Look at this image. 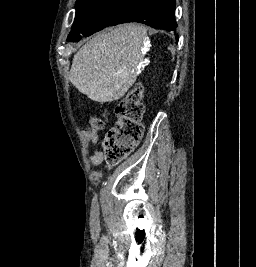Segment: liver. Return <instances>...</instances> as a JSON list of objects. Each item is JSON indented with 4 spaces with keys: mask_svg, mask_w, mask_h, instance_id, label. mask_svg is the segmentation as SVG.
I'll return each instance as SVG.
<instances>
[{
    "mask_svg": "<svg viewBox=\"0 0 256 267\" xmlns=\"http://www.w3.org/2000/svg\"><path fill=\"white\" fill-rule=\"evenodd\" d=\"M146 34L142 24H120L96 34L74 56L71 84L94 102L119 100L136 82Z\"/></svg>",
    "mask_w": 256,
    "mask_h": 267,
    "instance_id": "6515ba94",
    "label": "liver"
}]
</instances>
